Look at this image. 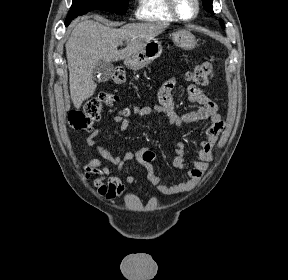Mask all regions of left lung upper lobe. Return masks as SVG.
<instances>
[{
	"label": "left lung upper lobe",
	"mask_w": 288,
	"mask_h": 280,
	"mask_svg": "<svg viewBox=\"0 0 288 280\" xmlns=\"http://www.w3.org/2000/svg\"><path fill=\"white\" fill-rule=\"evenodd\" d=\"M212 2H213V0H203L202 4H203L204 9L207 12H210V13L214 14L213 7H212ZM220 25H221V27H224L223 20H220Z\"/></svg>",
	"instance_id": "left-lung-upper-lobe-1"
}]
</instances>
